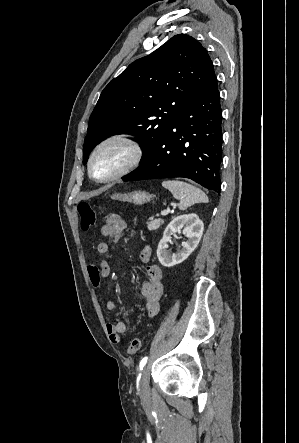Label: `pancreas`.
<instances>
[{"label":"pancreas","mask_w":299,"mask_h":443,"mask_svg":"<svg viewBox=\"0 0 299 443\" xmlns=\"http://www.w3.org/2000/svg\"><path fill=\"white\" fill-rule=\"evenodd\" d=\"M163 222L161 219H153V217H150L147 222V228L150 231L157 230Z\"/></svg>","instance_id":"obj_1"}]
</instances>
